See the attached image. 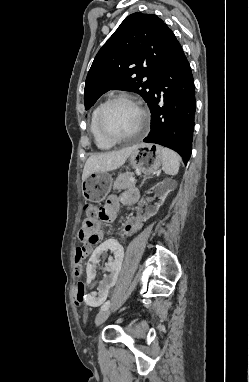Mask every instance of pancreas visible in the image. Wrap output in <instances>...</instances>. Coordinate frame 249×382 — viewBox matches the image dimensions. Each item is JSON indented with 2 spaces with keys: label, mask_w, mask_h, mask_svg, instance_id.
I'll list each match as a JSON object with an SVG mask.
<instances>
[{
  "label": "pancreas",
  "mask_w": 249,
  "mask_h": 382,
  "mask_svg": "<svg viewBox=\"0 0 249 382\" xmlns=\"http://www.w3.org/2000/svg\"><path fill=\"white\" fill-rule=\"evenodd\" d=\"M134 175L133 172L120 173L113 184L114 190L129 189L135 191V181L131 182L130 178Z\"/></svg>",
  "instance_id": "cf45deb5"
}]
</instances>
